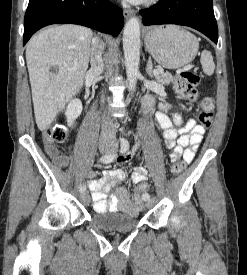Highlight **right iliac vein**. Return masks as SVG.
Returning a JSON list of instances; mask_svg holds the SVG:
<instances>
[{
    "mask_svg": "<svg viewBox=\"0 0 247 275\" xmlns=\"http://www.w3.org/2000/svg\"><path fill=\"white\" fill-rule=\"evenodd\" d=\"M100 150L104 154H108L111 151L110 147H108L107 145H104V144L101 145ZM80 198H81V201L83 202V204H85V205H87L90 202V197L86 192H83L81 194Z\"/></svg>",
    "mask_w": 247,
    "mask_h": 275,
    "instance_id": "1",
    "label": "right iliac vein"
}]
</instances>
